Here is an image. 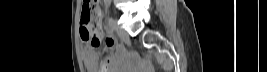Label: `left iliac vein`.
<instances>
[{
	"mask_svg": "<svg viewBox=\"0 0 267 72\" xmlns=\"http://www.w3.org/2000/svg\"><path fill=\"white\" fill-rule=\"evenodd\" d=\"M113 21H114L115 29H116V31H117V34H118L119 38H120L121 40H123V41H127V40L129 39V35H128L127 31H126L125 29L119 27V26L117 25L116 20L113 19Z\"/></svg>",
	"mask_w": 267,
	"mask_h": 72,
	"instance_id": "1",
	"label": "left iliac vein"
}]
</instances>
